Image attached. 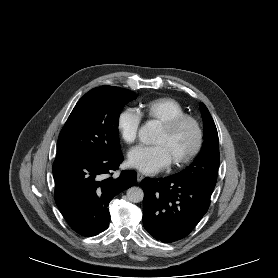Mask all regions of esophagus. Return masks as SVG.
Returning a JSON list of instances; mask_svg holds the SVG:
<instances>
[{
    "label": "esophagus",
    "mask_w": 278,
    "mask_h": 278,
    "mask_svg": "<svg viewBox=\"0 0 278 278\" xmlns=\"http://www.w3.org/2000/svg\"><path fill=\"white\" fill-rule=\"evenodd\" d=\"M144 179V176L141 173L137 174V182H141Z\"/></svg>",
    "instance_id": "34e87169"
}]
</instances>
